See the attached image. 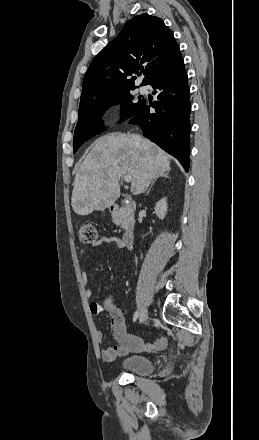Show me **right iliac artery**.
I'll return each mask as SVG.
<instances>
[{
	"label": "right iliac artery",
	"mask_w": 259,
	"mask_h": 440,
	"mask_svg": "<svg viewBox=\"0 0 259 440\" xmlns=\"http://www.w3.org/2000/svg\"><path fill=\"white\" fill-rule=\"evenodd\" d=\"M138 317H139V311L137 310V311L134 313L133 321L135 322V321L138 319Z\"/></svg>",
	"instance_id": "82829eb1"
}]
</instances>
